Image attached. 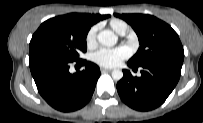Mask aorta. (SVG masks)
I'll return each instance as SVG.
<instances>
[{
  "label": "aorta",
  "instance_id": "1",
  "mask_svg": "<svg viewBox=\"0 0 203 123\" xmlns=\"http://www.w3.org/2000/svg\"><path fill=\"white\" fill-rule=\"evenodd\" d=\"M97 39L100 44L108 47L114 46L118 41L117 35H115L114 32H112L111 30H103L99 32L97 35ZM122 77H123V72L121 70L114 69L112 71V78L114 80H117V81L121 80Z\"/></svg>",
  "mask_w": 203,
  "mask_h": 123
}]
</instances>
